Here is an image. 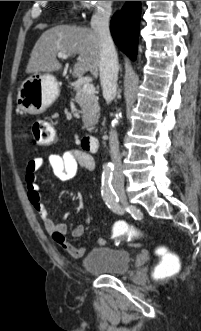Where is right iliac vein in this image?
I'll list each match as a JSON object with an SVG mask.
<instances>
[{
	"mask_svg": "<svg viewBox=\"0 0 201 331\" xmlns=\"http://www.w3.org/2000/svg\"><path fill=\"white\" fill-rule=\"evenodd\" d=\"M113 186H114V188H115V190H116V192H117V194H118L120 200H121L124 204H126V203H127V200H126V195H125V190H124V183H123V181L118 180V179H115V180L113 181Z\"/></svg>",
	"mask_w": 201,
	"mask_h": 331,
	"instance_id": "right-iliac-vein-1",
	"label": "right iliac vein"
}]
</instances>
